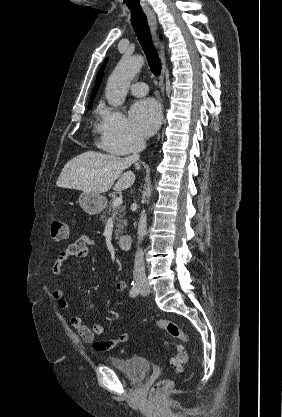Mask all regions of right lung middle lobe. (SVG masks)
Returning <instances> with one entry per match:
<instances>
[{
  "mask_svg": "<svg viewBox=\"0 0 282 417\" xmlns=\"http://www.w3.org/2000/svg\"><path fill=\"white\" fill-rule=\"evenodd\" d=\"M94 98H95V95H92V96L90 97V102H89V106H88V109H89V110H90V109H91V107H92V102H93Z\"/></svg>",
  "mask_w": 282,
  "mask_h": 417,
  "instance_id": "obj_1",
  "label": "right lung middle lobe"
}]
</instances>
